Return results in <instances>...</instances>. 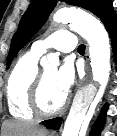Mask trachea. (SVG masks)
I'll list each match as a JSON object with an SVG mask.
<instances>
[{
  "instance_id": "3493384b",
  "label": "trachea",
  "mask_w": 117,
  "mask_h": 136,
  "mask_svg": "<svg viewBox=\"0 0 117 136\" xmlns=\"http://www.w3.org/2000/svg\"><path fill=\"white\" fill-rule=\"evenodd\" d=\"M78 51H79V52H85V45H84V44H80V45L78 46Z\"/></svg>"
}]
</instances>
